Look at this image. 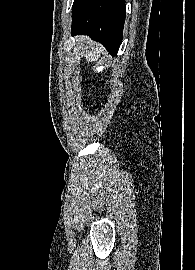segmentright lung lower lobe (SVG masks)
Instances as JSON below:
<instances>
[{
    "label": "right lung lower lobe",
    "instance_id": "right-lung-lower-lobe-1",
    "mask_svg": "<svg viewBox=\"0 0 195 270\" xmlns=\"http://www.w3.org/2000/svg\"><path fill=\"white\" fill-rule=\"evenodd\" d=\"M125 14V0H75L71 35H89L116 55L122 42Z\"/></svg>",
    "mask_w": 195,
    "mask_h": 270
}]
</instances>
